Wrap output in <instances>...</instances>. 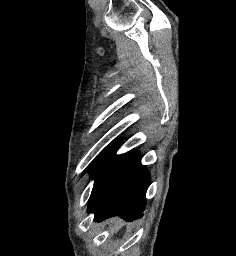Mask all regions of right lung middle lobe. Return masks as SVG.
<instances>
[{"mask_svg":"<svg viewBox=\"0 0 236 256\" xmlns=\"http://www.w3.org/2000/svg\"><path fill=\"white\" fill-rule=\"evenodd\" d=\"M119 142L110 144L108 147L104 149V151L95 159L93 162L90 172L93 174L94 178H97L102 171L110 164L112 163L116 158L114 157L115 152L118 148Z\"/></svg>","mask_w":236,"mask_h":256,"instance_id":"dd1d6c3e","label":"right lung middle lobe"}]
</instances>
